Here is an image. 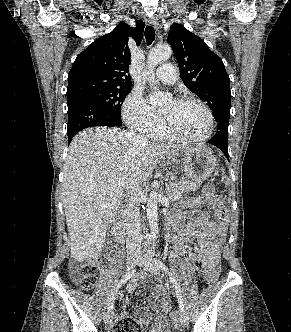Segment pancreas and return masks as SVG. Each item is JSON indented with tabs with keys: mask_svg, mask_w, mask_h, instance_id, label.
Segmentation results:
<instances>
[{
	"mask_svg": "<svg viewBox=\"0 0 291 332\" xmlns=\"http://www.w3.org/2000/svg\"><path fill=\"white\" fill-rule=\"evenodd\" d=\"M202 185V181H190V180H182L179 182H172L166 186V193L170 198H173L179 194L184 192H191L198 190Z\"/></svg>",
	"mask_w": 291,
	"mask_h": 332,
	"instance_id": "1",
	"label": "pancreas"
}]
</instances>
